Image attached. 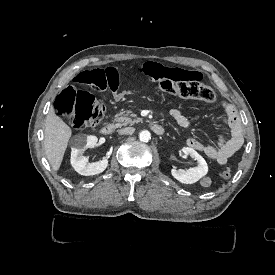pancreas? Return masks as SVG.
I'll use <instances>...</instances> for the list:
<instances>
[{
    "label": "pancreas",
    "mask_w": 275,
    "mask_h": 275,
    "mask_svg": "<svg viewBox=\"0 0 275 275\" xmlns=\"http://www.w3.org/2000/svg\"><path fill=\"white\" fill-rule=\"evenodd\" d=\"M114 122L116 123L117 127L127 126V125H134L135 123L142 122V118L137 117L136 114H130L128 111L120 112L115 115Z\"/></svg>",
    "instance_id": "pancreas-1"
}]
</instances>
